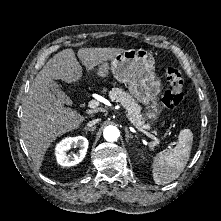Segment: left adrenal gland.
<instances>
[{
    "label": "left adrenal gland",
    "mask_w": 221,
    "mask_h": 221,
    "mask_svg": "<svg viewBox=\"0 0 221 221\" xmlns=\"http://www.w3.org/2000/svg\"><path fill=\"white\" fill-rule=\"evenodd\" d=\"M125 133H126L125 139H126V142L128 143V142H129V139H133V136L129 133L127 127L125 128Z\"/></svg>",
    "instance_id": "1"
}]
</instances>
